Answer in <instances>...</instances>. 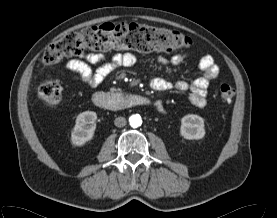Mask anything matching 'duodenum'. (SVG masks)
<instances>
[{
    "instance_id": "duodenum-1",
    "label": "duodenum",
    "mask_w": 277,
    "mask_h": 218,
    "mask_svg": "<svg viewBox=\"0 0 277 218\" xmlns=\"http://www.w3.org/2000/svg\"><path fill=\"white\" fill-rule=\"evenodd\" d=\"M93 102L97 107L109 111H120L135 106L150 104V100L143 96L133 94L112 95L106 92H97L93 97ZM155 106L160 112L165 110L160 102H156Z\"/></svg>"
}]
</instances>
